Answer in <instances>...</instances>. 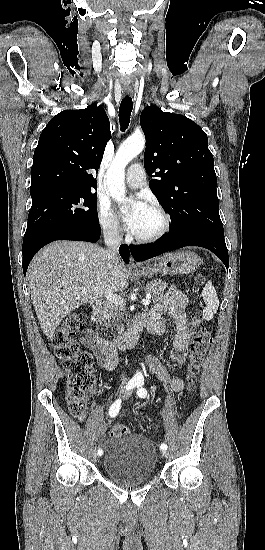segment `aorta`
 Masks as SVG:
<instances>
[{"mask_svg":"<svg viewBox=\"0 0 265 550\" xmlns=\"http://www.w3.org/2000/svg\"><path fill=\"white\" fill-rule=\"evenodd\" d=\"M145 138L141 134H134L124 141L107 172V185L110 195L120 204L122 212L128 210L125 194L124 175L127 164L142 152Z\"/></svg>","mask_w":265,"mask_h":550,"instance_id":"aorta-1","label":"aorta"}]
</instances>
